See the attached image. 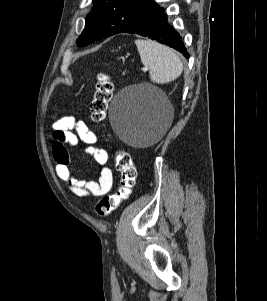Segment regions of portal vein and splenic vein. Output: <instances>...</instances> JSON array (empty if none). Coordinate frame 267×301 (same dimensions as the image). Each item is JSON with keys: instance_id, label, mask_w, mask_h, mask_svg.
I'll list each match as a JSON object with an SVG mask.
<instances>
[{"instance_id": "18ae733b", "label": "portal vein and splenic vein", "mask_w": 267, "mask_h": 301, "mask_svg": "<svg viewBox=\"0 0 267 301\" xmlns=\"http://www.w3.org/2000/svg\"><path fill=\"white\" fill-rule=\"evenodd\" d=\"M142 70H143V71H147L148 68H147V67H143Z\"/></svg>"}]
</instances>
